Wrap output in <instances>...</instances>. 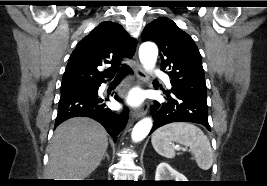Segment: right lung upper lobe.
<instances>
[{
  "instance_id": "1",
  "label": "right lung upper lobe",
  "mask_w": 267,
  "mask_h": 186,
  "mask_svg": "<svg viewBox=\"0 0 267 186\" xmlns=\"http://www.w3.org/2000/svg\"><path fill=\"white\" fill-rule=\"evenodd\" d=\"M135 47V40L120 24L111 21L100 23L72 52L62 85L98 84L104 82L105 78H112L113 73L120 70L121 60L132 58ZM103 64H111V67L99 72L98 67ZM126 66L123 65L122 69Z\"/></svg>"
}]
</instances>
